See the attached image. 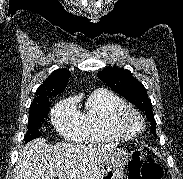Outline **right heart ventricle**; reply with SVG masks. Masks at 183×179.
Here are the masks:
<instances>
[{
  "instance_id": "1",
  "label": "right heart ventricle",
  "mask_w": 183,
  "mask_h": 179,
  "mask_svg": "<svg viewBox=\"0 0 183 179\" xmlns=\"http://www.w3.org/2000/svg\"><path fill=\"white\" fill-rule=\"evenodd\" d=\"M125 107L126 102L115 93L107 89L93 91L80 113L82 129L79 139L91 143L129 139L114 125L116 113Z\"/></svg>"
}]
</instances>
